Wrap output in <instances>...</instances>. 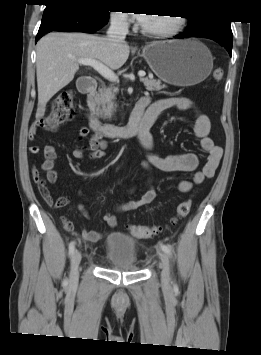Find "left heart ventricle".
I'll list each match as a JSON object with an SVG mask.
<instances>
[{
  "mask_svg": "<svg viewBox=\"0 0 261 355\" xmlns=\"http://www.w3.org/2000/svg\"><path fill=\"white\" fill-rule=\"evenodd\" d=\"M175 23L174 16L148 15L142 26L148 30H167L171 29Z\"/></svg>",
  "mask_w": 261,
  "mask_h": 355,
  "instance_id": "left-heart-ventricle-1",
  "label": "left heart ventricle"
}]
</instances>
